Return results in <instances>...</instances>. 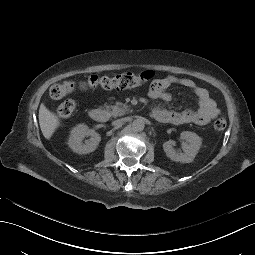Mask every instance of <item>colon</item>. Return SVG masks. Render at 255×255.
<instances>
[{
	"label": "colon",
	"instance_id": "obj_1",
	"mask_svg": "<svg viewBox=\"0 0 255 255\" xmlns=\"http://www.w3.org/2000/svg\"><path fill=\"white\" fill-rule=\"evenodd\" d=\"M154 77L152 71H143L140 73L124 72L113 77L91 75L82 81H64L51 86L50 96L53 99H62L66 95L76 91H86L95 88L104 89H128L143 86ZM76 108V103L72 99L62 102L57 107V113L61 117L70 116ZM227 126V120L223 114H219L213 123L215 131H222Z\"/></svg>",
	"mask_w": 255,
	"mask_h": 255
}]
</instances>
